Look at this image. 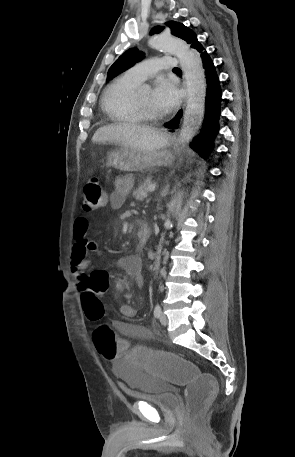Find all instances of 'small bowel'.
Segmentation results:
<instances>
[{
    "mask_svg": "<svg viewBox=\"0 0 295 457\" xmlns=\"http://www.w3.org/2000/svg\"><path fill=\"white\" fill-rule=\"evenodd\" d=\"M131 187L132 181L129 178H118L116 180L115 188L110 194L109 198V202L112 208L118 209L123 206L126 197L131 190ZM89 232V220L84 216L77 217L74 223L75 243L71 255L70 267L74 279L81 292L83 286L87 283V275L85 274V270L88 267V253L91 251H98L97 243L89 237ZM117 264L120 265L134 278L138 287L144 286L142 262L138 256L131 255L119 258L117 260ZM120 313L125 318H133L136 316V310L130 304H122L120 306ZM114 326L117 330L120 331L122 335L126 336L123 337L122 341H127L129 346L130 341L128 337H147L151 335L150 328L135 325L126 321H115Z\"/></svg>",
    "mask_w": 295,
    "mask_h": 457,
    "instance_id": "1",
    "label": "small bowel"
}]
</instances>
